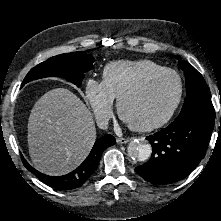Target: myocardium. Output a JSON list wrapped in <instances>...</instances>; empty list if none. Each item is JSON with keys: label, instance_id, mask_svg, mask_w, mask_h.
<instances>
[{"label": "myocardium", "instance_id": "myocardium-1", "mask_svg": "<svg viewBox=\"0 0 221 221\" xmlns=\"http://www.w3.org/2000/svg\"><path fill=\"white\" fill-rule=\"evenodd\" d=\"M173 75L178 82V94L177 97L174 101V103L172 104L171 108L169 109V111L160 119L151 122V123H147V124H132L130 122H128L126 120V118L124 117L123 114V106L124 103L127 99H129L130 97L136 95L137 93H139L140 91H142L144 88H146V86L153 81L154 79L163 76V75ZM183 93H184V85H183V80L181 78V76L179 75V73L173 69H169V68H164L155 72H152L148 75H146L144 78H142L140 81H138L136 84H134L133 86H131L130 88H128L127 90H125L118 98L117 100V112L119 117L121 118V120L126 123L130 129L137 131V132H148V131H152L158 128L163 127L165 124H167L171 118L173 117V115L175 114V112L177 111L182 98H183Z\"/></svg>", "mask_w": 221, "mask_h": 221}]
</instances>
